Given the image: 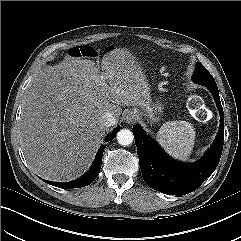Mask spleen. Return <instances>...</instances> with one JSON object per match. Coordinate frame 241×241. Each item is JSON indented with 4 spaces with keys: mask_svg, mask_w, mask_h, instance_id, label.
<instances>
[{
    "mask_svg": "<svg viewBox=\"0 0 241 241\" xmlns=\"http://www.w3.org/2000/svg\"><path fill=\"white\" fill-rule=\"evenodd\" d=\"M157 141L174 159L186 161L194 147L195 131L186 121L166 122L157 132Z\"/></svg>",
    "mask_w": 241,
    "mask_h": 241,
    "instance_id": "3e777b00",
    "label": "spleen"
}]
</instances>
